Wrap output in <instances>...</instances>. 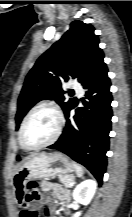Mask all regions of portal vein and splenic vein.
<instances>
[{
	"mask_svg": "<svg viewBox=\"0 0 132 217\" xmlns=\"http://www.w3.org/2000/svg\"><path fill=\"white\" fill-rule=\"evenodd\" d=\"M74 183H70V186H73Z\"/></svg>",
	"mask_w": 132,
	"mask_h": 217,
	"instance_id": "1",
	"label": "portal vein and splenic vein"
}]
</instances>
